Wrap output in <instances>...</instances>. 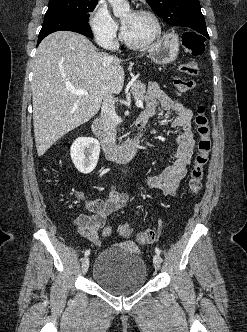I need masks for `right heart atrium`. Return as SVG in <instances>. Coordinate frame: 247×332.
<instances>
[{
  "mask_svg": "<svg viewBox=\"0 0 247 332\" xmlns=\"http://www.w3.org/2000/svg\"><path fill=\"white\" fill-rule=\"evenodd\" d=\"M89 26L96 41L103 47L115 46L118 34V24L110 14L108 8L99 3L92 11Z\"/></svg>",
  "mask_w": 247,
  "mask_h": 332,
  "instance_id": "right-heart-atrium-1",
  "label": "right heart atrium"
}]
</instances>
